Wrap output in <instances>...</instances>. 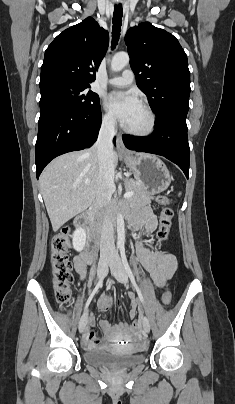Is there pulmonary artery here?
<instances>
[{
	"instance_id": "1",
	"label": "pulmonary artery",
	"mask_w": 235,
	"mask_h": 404,
	"mask_svg": "<svg viewBox=\"0 0 235 404\" xmlns=\"http://www.w3.org/2000/svg\"><path fill=\"white\" fill-rule=\"evenodd\" d=\"M134 74L130 70H124L121 76L114 77L108 80L112 86L126 87L133 82Z\"/></svg>"
}]
</instances>
